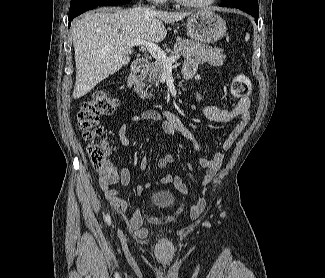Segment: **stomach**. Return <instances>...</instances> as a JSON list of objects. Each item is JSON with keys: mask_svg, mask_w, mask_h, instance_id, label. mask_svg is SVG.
<instances>
[{"mask_svg": "<svg viewBox=\"0 0 325 278\" xmlns=\"http://www.w3.org/2000/svg\"><path fill=\"white\" fill-rule=\"evenodd\" d=\"M188 37L200 43H215L226 33L225 21L210 10H198L186 22Z\"/></svg>", "mask_w": 325, "mask_h": 278, "instance_id": "1", "label": "stomach"}]
</instances>
